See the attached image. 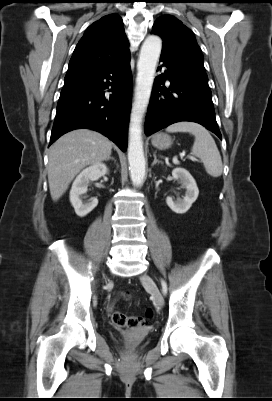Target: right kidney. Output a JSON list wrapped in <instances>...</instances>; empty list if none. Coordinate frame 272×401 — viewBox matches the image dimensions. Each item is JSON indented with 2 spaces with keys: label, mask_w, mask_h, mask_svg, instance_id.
I'll use <instances>...</instances> for the list:
<instances>
[{
  "label": "right kidney",
  "mask_w": 272,
  "mask_h": 401,
  "mask_svg": "<svg viewBox=\"0 0 272 401\" xmlns=\"http://www.w3.org/2000/svg\"><path fill=\"white\" fill-rule=\"evenodd\" d=\"M108 173V168L103 163H96L84 169L74 180L70 190V202L78 216L84 217L90 213L98 204L97 198L83 203L82 196L87 192L91 181H96Z\"/></svg>",
  "instance_id": "obj_1"
}]
</instances>
